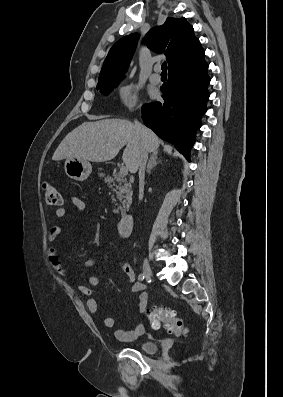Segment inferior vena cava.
Instances as JSON below:
<instances>
[{
    "label": "inferior vena cava",
    "mask_w": 283,
    "mask_h": 397,
    "mask_svg": "<svg viewBox=\"0 0 283 397\" xmlns=\"http://www.w3.org/2000/svg\"><path fill=\"white\" fill-rule=\"evenodd\" d=\"M134 125L136 129L140 132L142 138H145L146 136V131L143 128V126L137 121H134ZM148 158V151L144 149L141 152V155L138 160V168H139V198L143 199L144 195V177H145V167H146V162Z\"/></svg>",
    "instance_id": "obj_1"
}]
</instances>
